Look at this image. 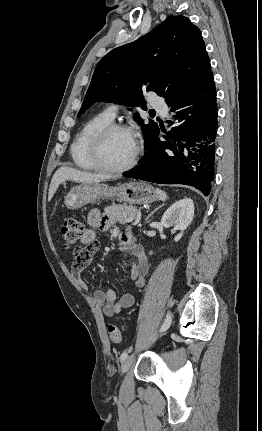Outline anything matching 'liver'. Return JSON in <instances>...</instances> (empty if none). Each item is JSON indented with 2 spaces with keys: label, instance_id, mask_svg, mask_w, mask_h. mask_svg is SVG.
<instances>
[{
  "label": "liver",
  "instance_id": "liver-1",
  "mask_svg": "<svg viewBox=\"0 0 262 431\" xmlns=\"http://www.w3.org/2000/svg\"><path fill=\"white\" fill-rule=\"evenodd\" d=\"M111 178L112 177L109 175L84 172L66 166L60 167L52 177L48 192V201L52 199L59 185L64 181H73L82 184L99 183L101 181L108 180Z\"/></svg>",
  "mask_w": 262,
  "mask_h": 431
}]
</instances>
